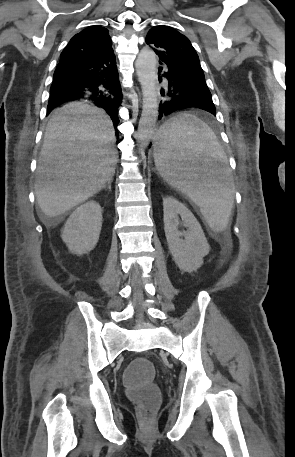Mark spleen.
Masks as SVG:
<instances>
[{"label": "spleen", "mask_w": 295, "mask_h": 457, "mask_svg": "<svg viewBox=\"0 0 295 457\" xmlns=\"http://www.w3.org/2000/svg\"><path fill=\"white\" fill-rule=\"evenodd\" d=\"M154 162L163 179L199 206L211 230L226 229L234 181L225 152L203 121L180 113L164 123L155 142Z\"/></svg>", "instance_id": "obj_1"}]
</instances>
